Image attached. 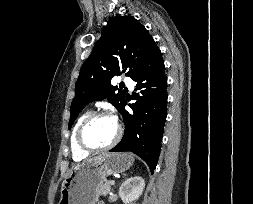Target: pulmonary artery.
<instances>
[{
	"instance_id": "1",
	"label": "pulmonary artery",
	"mask_w": 253,
	"mask_h": 204,
	"mask_svg": "<svg viewBox=\"0 0 253 204\" xmlns=\"http://www.w3.org/2000/svg\"><path fill=\"white\" fill-rule=\"evenodd\" d=\"M122 81H123V83L126 84L130 89L133 88V81H132L129 77L124 76V77L122 78Z\"/></svg>"
}]
</instances>
